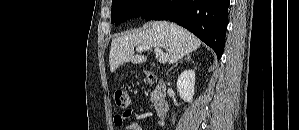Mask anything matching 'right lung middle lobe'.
<instances>
[{
  "label": "right lung middle lobe",
  "mask_w": 299,
  "mask_h": 130,
  "mask_svg": "<svg viewBox=\"0 0 299 130\" xmlns=\"http://www.w3.org/2000/svg\"><path fill=\"white\" fill-rule=\"evenodd\" d=\"M157 0H113L111 23L120 24L145 13Z\"/></svg>",
  "instance_id": "dd1d6c3e"
}]
</instances>
